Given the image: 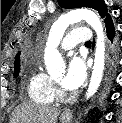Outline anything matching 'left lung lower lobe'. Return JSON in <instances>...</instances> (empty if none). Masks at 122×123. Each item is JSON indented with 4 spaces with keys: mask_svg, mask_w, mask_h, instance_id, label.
<instances>
[{
    "mask_svg": "<svg viewBox=\"0 0 122 123\" xmlns=\"http://www.w3.org/2000/svg\"><path fill=\"white\" fill-rule=\"evenodd\" d=\"M104 23H105V27H106L107 37L111 43V45H110V49H111V71L109 74V83L112 84V82L114 81L115 69H116L117 63H118L120 44H119L118 37L115 35L114 24H113V21H112L109 14L104 18Z\"/></svg>",
    "mask_w": 122,
    "mask_h": 123,
    "instance_id": "obj_1",
    "label": "left lung lower lobe"
}]
</instances>
